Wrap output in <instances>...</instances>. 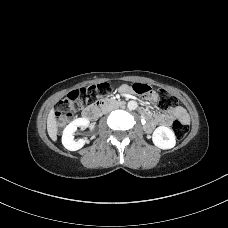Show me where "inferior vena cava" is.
Returning a JSON list of instances; mask_svg holds the SVG:
<instances>
[{
	"mask_svg": "<svg viewBox=\"0 0 228 228\" xmlns=\"http://www.w3.org/2000/svg\"><path fill=\"white\" fill-rule=\"evenodd\" d=\"M115 108H116V106L107 107V108H105V109L103 110V113H108V112L114 110Z\"/></svg>",
	"mask_w": 228,
	"mask_h": 228,
	"instance_id": "1",
	"label": "inferior vena cava"
}]
</instances>
